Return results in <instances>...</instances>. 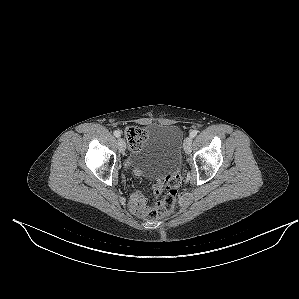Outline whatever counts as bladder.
<instances>
[{"label": "bladder", "instance_id": "1", "mask_svg": "<svg viewBox=\"0 0 299 299\" xmlns=\"http://www.w3.org/2000/svg\"><path fill=\"white\" fill-rule=\"evenodd\" d=\"M182 131L176 125L153 123L147 138L133 154L132 164L145 175L156 177L181 164Z\"/></svg>", "mask_w": 299, "mask_h": 299}]
</instances>
